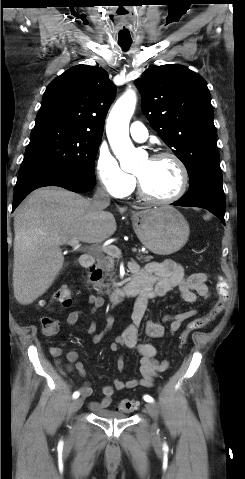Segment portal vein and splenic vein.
<instances>
[{"instance_id": "18ae733b", "label": "portal vein and splenic vein", "mask_w": 245, "mask_h": 479, "mask_svg": "<svg viewBox=\"0 0 245 479\" xmlns=\"http://www.w3.org/2000/svg\"><path fill=\"white\" fill-rule=\"evenodd\" d=\"M67 244L72 246L75 249H79V240L71 239V240L67 241ZM95 249L100 251V252H104L108 255H111L113 257H120L121 256V250L115 245L96 246ZM132 251L137 252V249L135 247H133Z\"/></svg>"}]
</instances>
